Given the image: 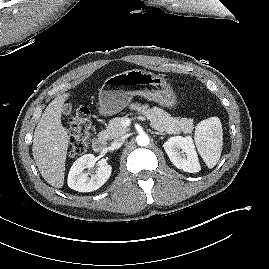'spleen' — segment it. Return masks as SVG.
Masks as SVG:
<instances>
[{"label":"spleen","mask_w":269,"mask_h":269,"mask_svg":"<svg viewBox=\"0 0 269 269\" xmlns=\"http://www.w3.org/2000/svg\"><path fill=\"white\" fill-rule=\"evenodd\" d=\"M197 150L208 168H213L220 159L223 145L222 124L218 117L199 122L195 129Z\"/></svg>","instance_id":"1"}]
</instances>
